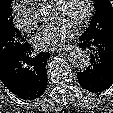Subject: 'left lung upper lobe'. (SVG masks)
<instances>
[{"label":"left lung upper lobe","instance_id":"obj_1","mask_svg":"<svg viewBox=\"0 0 113 113\" xmlns=\"http://www.w3.org/2000/svg\"><path fill=\"white\" fill-rule=\"evenodd\" d=\"M95 14L92 17L86 34H95L102 31L113 32V7L109 0H94Z\"/></svg>","mask_w":113,"mask_h":113}]
</instances>
